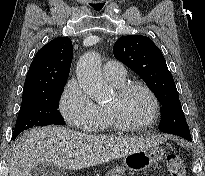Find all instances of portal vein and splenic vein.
Here are the masks:
<instances>
[{"label": "portal vein and splenic vein", "instance_id": "portal-vein-and-splenic-vein-1", "mask_svg": "<svg viewBox=\"0 0 205 176\" xmlns=\"http://www.w3.org/2000/svg\"><path fill=\"white\" fill-rule=\"evenodd\" d=\"M73 155H74V154H73L72 152H69V153L66 154L65 158H66L67 160H69Z\"/></svg>", "mask_w": 205, "mask_h": 176}]
</instances>
